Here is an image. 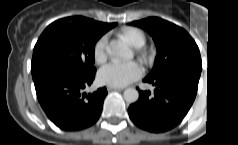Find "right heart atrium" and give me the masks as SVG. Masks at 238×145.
<instances>
[{
    "label": "right heart atrium",
    "instance_id": "1",
    "mask_svg": "<svg viewBox=\"0 0 238 145\" xmlns=\"http://www.w3.org/2000/svg\"><path fill=\"white\" fill-rule=\"evenodd\" d=\"M93 57L98 63H101L107 58V37H100L93 46Z\"/></svg>",
    "mask_w": 238,
    "mask_h": 145
}]
</instances>
